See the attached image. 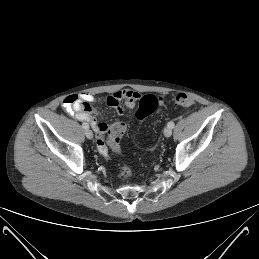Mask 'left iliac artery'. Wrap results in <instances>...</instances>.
Masks as SVG:
<instances>
[{"mask_svg":"<svg viewBox=\"0 0 259 259\" xmlns=\"http://www.w3.org/2000/svg\"><path fill=\"white\" fill-rule=\"evenodd\" d=\"M174 122L173 121H170L168 122V127H170L171 129L174 128Z\"/></svg>","mask_w":259,"mask_h":259,"instance_id":"1","label":"left iliac artery"}]
</instances>
